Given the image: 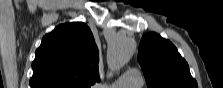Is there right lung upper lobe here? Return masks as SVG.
<instances>
[{
	"instance_id": "1",
	"label": "right lung upper lobe",
	"mask_w": 223,
	"mask_h": 88,
	"mask_svg": "<svg viewBox=\"0 0 223 88\" xmlns=\"http://www.w3.org/2000/svg\"><path fill=\"white\" fill-rule=\"evenodd\" d=\"M99 52L82 22L57 26L45 35L32 63L31 88H90L99 81Z\"/></svg>"
}]
</instances>
